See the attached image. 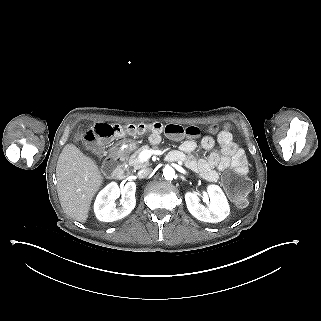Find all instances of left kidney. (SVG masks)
Listing matches in <instances>:
<instances>
[{"instance_id": "5707ae66", "label": "left kidney", "mask_w": 321, "mask_h": 321, "mask_svg": "<svg viewBox=\"0 0 321 321\" xmlns=\"http://www.w3.org/2000/svg\"><path fill=\"white\" fill-rule=\"evenodd\" d=\"M207 193L210 202L207 207L200 204V194L198 192H186L184 195L188 211L196 219L218 223L229 215V205L227 199L219 186H209Z\"/></svg>"}]
</instances>
